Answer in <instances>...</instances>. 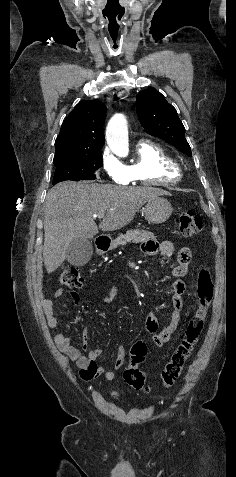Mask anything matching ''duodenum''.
<instances>
[{"instance_id": "duodenum-1", "label": "duodenum", "mask_w": 236, "mask_h": 477, "mask_svg": "<svg viewBox=\"0 0 236 477\" xmlns=\"http://www.w3.org/2000/svg\"><path fill=\"white\" fill-rule=\"evenodd\" d=\"M111 244L110 239H99L96 241L95 246L99 251L106 250Z\"/></svg>"}]
</instances>
